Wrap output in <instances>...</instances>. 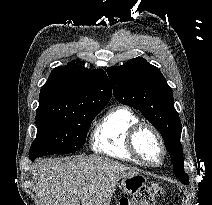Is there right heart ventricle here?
Listing matches in <instances>:
<instances>
[{
	"mask_svg": "<svg viewBox=\"0 0 212 205\" xmlns=\"http://www.w3.org/2000/svg\"><path fill=\"white\" fill-rule=\"evenodd\" d=\"M139 123L129 108L117 106L106 112L96 123L91 134V148L120 160L139 162L128 148L130 130Z\"/></svg>",
	"mask_w": 212,
	"mask_h": 205,
	"instance_id": "right-heart-ventricle-1",
	"label": "right heart ventricle"
}]
</instances>
